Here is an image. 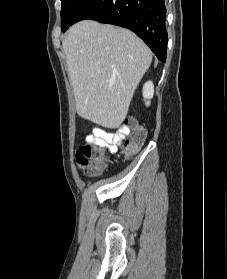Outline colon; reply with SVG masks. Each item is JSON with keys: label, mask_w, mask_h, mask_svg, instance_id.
Returning a JSON list of instances; mask_svg holds the SVG:
<instances>
[{"label": "colon", "mask_w": 227, "mask_h": 279, "mask_svg": "<svg viewBox=\"0 0 227 279\" xmlns=\"http://www.w3.org/2000/svg\"><path fill=\"white\" fill-rule=\"evenodd\" d=\"M127 123L133 127L132 134L123 143V157L129 158L139 151L146 140V132L138 127L134 119L127 120ZM102 147H98L96 142L89 139L86 144L79 147L76 153L77 164L85 170L86 173L96 175L105 165L106 157L102 152Z\"/></svg>", "instance_id": "5ec220e1"}]
</instances>
